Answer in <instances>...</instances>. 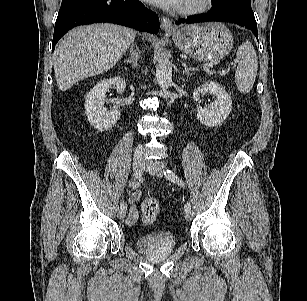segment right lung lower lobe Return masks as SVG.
I'll list each match as a JSON object with an SVG mask.
<instances>
[{
  "label": "right lung lower lobe",
  "mask_w": 307,
  "mask_h": 301,
  "mask_svg": "<svg viewBox=\"0 0 307 301\" xmlns=\"http://www.w3.org/2000/svg\"><path fill=\"white\" fill-rule=\"evenodd\" d=\"M96 22L116 23L153 34L159 31L158 15L139 0H62L52 51L57 41L71 28Z\"/></svg>",
  "instance_id": "98d812e1"
}]
</instances>
